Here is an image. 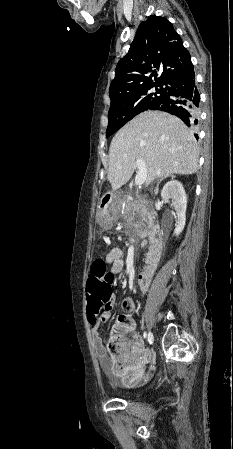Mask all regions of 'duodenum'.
<instances>
[{
    "label": "duodenum",
    "instance_id": "duodenum-1",
    "mask_svg": "<svg viewBox=\"0 0 233 449\" xmlns=\"http://www.w3.org/2000/svg\"><path fill=\"white\" fill-rule=\"evenodd\" d=\"M108 197L103 199L100 207L103 210L109 209L110 206L114 204L115 193L109 192ZM150 242L151 245L146 253V265L143 272H154L157 269L158 263L162 256L163 251V242L160 228H154L150 234Z\"/></svg>",
    "mask_w": 233,
    "mask_h": 449
}]
</instances>
